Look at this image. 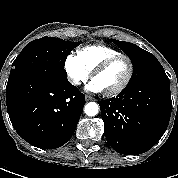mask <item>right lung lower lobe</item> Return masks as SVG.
<instances>
[{
  "instance_id": "right-lung-lower-lobe-1",
  "label": "right lung lower lobe",
  "mask_w": 178,
  "mask_h": 178,
  "mask_svg": "<svg viewBox=\"0 0 178 178\" xmlns=\"http://www.w3.org/2000/svg\"><path fill=\"white\" fill-rule=\"evenodd\" d=\"M10 121L29 144L55 149L69 141L85 104V95L54 69L15 71L6 86Z\"/></svg>"
}]
</instances>
